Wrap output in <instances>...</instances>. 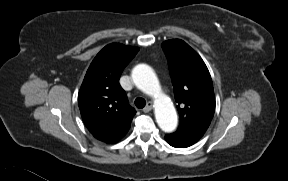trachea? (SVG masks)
I'll list each match as a JSON object with an SVG mask.
<instances>
[{"instance_id": "1", "label": "trachea", "mask_w": 288, "mask_h": 181, "mask_svg": "<svg viewBox=\"0 0 288 181\" xmlns=\"http://www.w3.org/2000/svg\"><path fill=\"white\" fill-rule=\"evenodd\" d=\"M135 105L137 108L142 109L145 107L146 101H145V99L138 97L135 99Z\"/></svg>"}]
</instances>
